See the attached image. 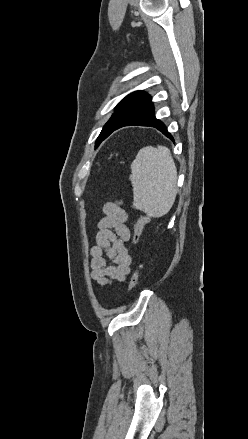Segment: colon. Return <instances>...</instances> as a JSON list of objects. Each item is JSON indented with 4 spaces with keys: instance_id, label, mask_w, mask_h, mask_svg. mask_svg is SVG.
Instances as JSON below:
<instances>
[{
    "instance_id": "1",
    "label": "colon",
    "mask_w": 248,
    "mask_h": 439,
    "mask_svg": "<svg viewBox=\"0 0 248 439\" xmlns=\"http://www.w3.org/2000/svg\"><path fill=\"white\" fill-rule=\"evenodd\" d=\"M150 217L146 214L143 213L139 216V218L137 219L135 225H134V234H133V240L132 243L134 246H137L141 240L142 237V233H143V229L144 226L149 222ZM138 280H139V269H135L132 277L130 279L129 282V290L132 291L136 288L137 284H138Z\"/></svg>"
}]
</instances>
